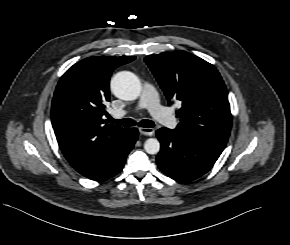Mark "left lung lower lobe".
<instances>
[{
  "label": "left lung lower lobe",
  "mask_w": 290,
  "mask_h": 245,
  "mask_svg": "<svg viewBox=\"0 0 290 245\" xmlns=\"http://www.w3.org/2000/svg\"><path fill=\"white\" fill-rule=\"evenodd\" d=\"M161 143L157 165L162 172L179 182H189L208 172L223 150L160 128L156 132Z\"/></svg>",
  "instance_id": "left-lung-lower-lobe-1"
}]
</instances>
